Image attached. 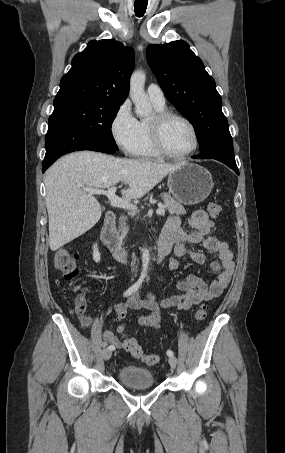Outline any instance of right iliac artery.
Wrapping results in <instances>:
<instances>
[{
	"label": "right iliac artery",
	"instance_id": "right-iliac-artery-1",
	"mask_svg": "<svg viewBox=\"0 0 285 453\" xmlns=\"http://www.w3.org/2000/svg\"><path fill=\"white\" fill-rule=\"evenodd\" d=\"M145 275L142 274L139 278V280L133 284L128 290H126L124 292V296L127 297V296H130L132 293H134L135 291L138 290V288L140 287V285L142 284V281L144 279ZM103 346H106V343H103ZM108 349H110L111 351L114 350V347L112 346H109Z\"/></svg>",
	"mask_w": 285,
	"mask_h": 453
}]
</instances>
